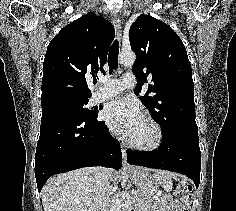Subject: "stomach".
<instances>
[{
	"mask_svg": "<svg viewBox=\"0 0 236 211\" xmlns=\"http://www.w3.org/2000/svg\"><path fill=\"white\" fill-rule=\"evenodd\" d=\"M129 176L137 188L144 194L148 200L159 192V186L149 172L139 167H133L129 171Z\"/></svg>",
	"mask_w": 236,
	"mask_h": 211,
	"instance_id": "1",
	"label": "stomach"
}]
</instances>
